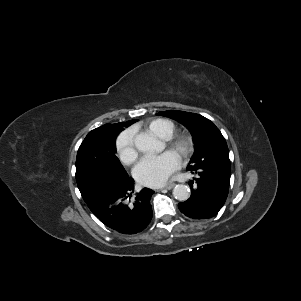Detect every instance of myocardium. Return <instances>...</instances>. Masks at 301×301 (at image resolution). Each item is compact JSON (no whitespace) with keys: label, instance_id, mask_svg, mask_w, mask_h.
<instances>
[{"label":"myocardium","instance_id":"f54148a6","mask_svg":"<svg viewBox=\"0 0 301 301\" xmlns=\"http://www.w3.org/2000/svg\"><path fill=\"white\" fill-rule=\"evenodd\" d=\"M168 145L183 159H188L194 151L192 138L184 134L169 139Z\"/></svg>","mask_w":301,"mask_h":301}]
</instances>
